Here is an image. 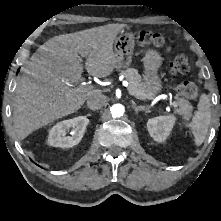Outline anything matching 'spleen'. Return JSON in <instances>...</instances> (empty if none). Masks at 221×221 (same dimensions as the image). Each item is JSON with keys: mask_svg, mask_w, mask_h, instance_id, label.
Segmentation results:
<instances>
[{"mask_svg": "<svg viewBox=\"0 0 221 221\" xmlns=\"http://www.w3.org/2000/svg\"><path fill=\"white\" fill-rule=\"evenodd\" d=\"M197 108L198 110L195 112L191 122L186 126L194 136L195 145L199 146L205 140L211 121L210 102L205 94L200 96Z\"/></svg>", "mask_w": 221, "mask_h": 221, "instance_id": "obj_1", "label": "spleen"}]
</instances>
